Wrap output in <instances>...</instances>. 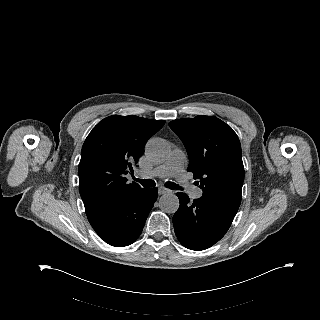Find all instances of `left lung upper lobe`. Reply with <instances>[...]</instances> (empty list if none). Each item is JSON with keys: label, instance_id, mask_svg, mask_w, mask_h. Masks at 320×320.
<instances>
[{"label": "left lung upper lobe", "instance_id": "left-lung-upper-lobe-1", "mask_svg": "<svg viewBox=\"0 0 320 320\" xmlns=\"http://www.w3.org/2000/svg\"><path fill=\"white\" fill-rule=\"evenodd\" d=\"M169 126L186 147L189 157L187 170L199 180L203 197L237 212L241 203L244 167L236 133L214 116L178 119L170 122Z\"/></svg>", "mask_w": 320, "mask_h": 320}]
</instances>
